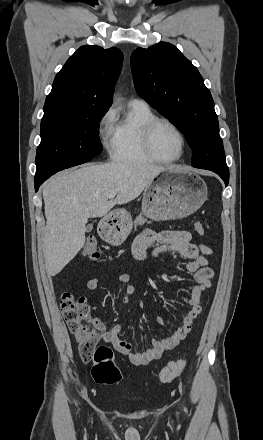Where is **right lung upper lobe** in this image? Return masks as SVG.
I'll return each instance as SVG.
<instances>
[{
  "instance_id": "obj_1",
  "label": "right lung upper lobe",
  "mask_w": 263,
  "mask_h": 440,
  "mask_svg": "<svg viewBox=\"0 0 263 440\" xmlns=\"http://www.w3.org/2000/svg\"><path fill=\"white\" fill-rule=\"evenodd\" d=\"M123 63L115 47H80L56 75L44 114L107 110Z\"/></svg>"
}]
</instances>
